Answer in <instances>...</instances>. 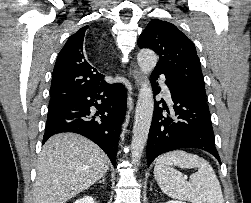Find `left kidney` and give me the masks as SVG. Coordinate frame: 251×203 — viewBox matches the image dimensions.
<instances>
[{
  "label": "left kidney",
  "mask_w": 251,
  "mask_h": 203,
  "mask_svg": "<svg viewBox=\"0 0 251 203\" xmlns=\"http://www.w3.org/2000/svg\"><path fill=\"white\" fill-rule=\"evenodd\" d=\"M166 203H185V202L176 201V200H170V201H167Z\"/></svg>",
  "instance_id": "5707ae66"
}]
</instances>
